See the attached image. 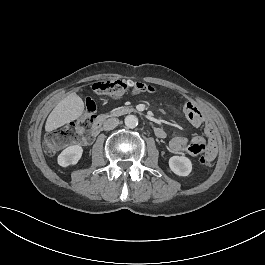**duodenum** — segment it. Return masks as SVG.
<instances>
[{"label": "duodenum", "instance_id": "duodenum-1", "mask_svg": "<svg viewBox=\"0 0 265 265\" xmlns=\"http://www.w3.org/2000/svg\"><path fill=\"white\" fill-rule=\"evenodd\" d=\"M108 116L109 115L106 114V115L98 118L97 121L95 122V124L93 126V129L97 130L99 132V134H100V132L102 130L103 122ZM154 134H155L156 137L161 138V139L165 138V136H166L165 131L162 128H160V127H156L154 129Z\"/></svg>", "mask_w": 265, "mask_h": 265}]
</instances>
